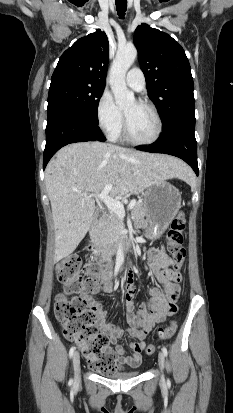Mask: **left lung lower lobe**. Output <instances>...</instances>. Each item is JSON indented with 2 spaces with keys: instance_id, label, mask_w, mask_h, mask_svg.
Returning a JSON list of instances; mask_svg holds the SVG:
<instances>
[{
  "instance_id": "left-lung-lower-lobe-1",
  "label": "left lung lower lobe",
  "mask_w": 233,
  "mask_h": 413,
  "mask_svg": "<svg viewBox=\"0 0 233 413\" xmlns=\"http://www.w3.org/2000/svg\"><path fill=\"white\" fill-rule=\"evenodd\" d=\"M195 121L178 119L163 128L161 137L138 150L165 153L183 159L198 176L197 143L194 135Z\"/></svg>"
}]
</instances>
